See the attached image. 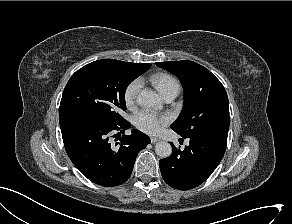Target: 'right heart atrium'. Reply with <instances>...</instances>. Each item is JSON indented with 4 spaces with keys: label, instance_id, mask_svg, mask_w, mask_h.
<instances>
[{
    "label": "right heart atrium",
    "instance_id": "d8ad5b80",
    "mask_svg": "<svg viewBox=\"0 0 292 224\" xmlns=\"http://www.w3.org/2000/svg\"><path fill=\"white\" fill-rule=\"evenodd\" d=\"M141 84L140 81H132L124 91V102L128 108H132L136 102Z\"/></svg>",
    "mask_w": 292,
    "mask_h": 224
}]
</instances>
